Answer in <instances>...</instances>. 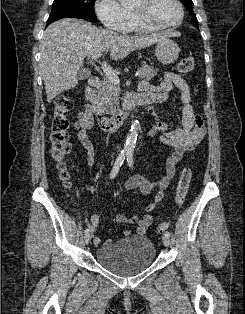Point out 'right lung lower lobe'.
I'll use <instances>...</instances> for the list:
<instances>
[{
    "instance_id": "98d812e1",
    "label": "right lung lower lobe",
    "mask_w": 245,
    "mask_h": 314,
    "mask_svg": "<svg viewBox=\"0 0 245 314\" xmlns=\"http://www.w3.org/2000/svg\"><path fill=\"white\" fill-rule=\"evenodd\" d=\"M65 17L80 18V19H92V18H89V17H86V16H80V15L58 16V17L48 18L46 26L50 25V24L53 23L54 21H57V20H59V19H61V18H65Z\"/></svg>"
}]
</instances>
